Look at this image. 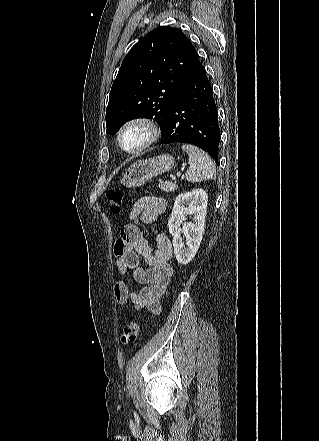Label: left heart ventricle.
<instances>
[{
	"mask_svg": "<svg viewBox=\"0 0 319 441\" xmlns=\"http://www.w3.org/2000/svg\"><path fill=\"white\" fill-rule=\"evenodd\" d=\"M144 138V133L139 128H134L126 132L124 135L123 141L124 145L128 148H133L139 145Z\"/></svg>",
	"mask_w": 319,
	"mask_h": 441,
	"instance_id": "b2bd125f",
	"label": "left heart ventricle"
}]
</instances>
